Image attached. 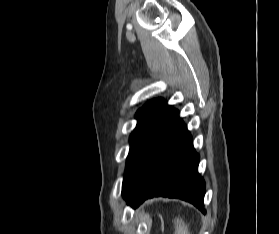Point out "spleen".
I'll return each instance as SVG.
<instances>
[{"mask_svg":"<svg viewBox=\"0 0 279 234\" xmlns=\"http://www.w3.org/2000/svg\"><path fill=\"white\" fill-rule=\"evenodd\" d=\"M175 233L174 234H190L188 225L181 218L174 220Z\"/></svg>","mask_w":279,"mask_h":234,"instance_id":"spleen-1","label":"spleen"}]
</instances>
